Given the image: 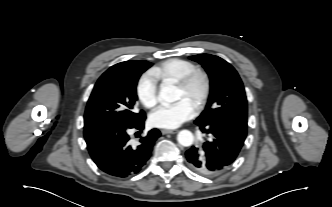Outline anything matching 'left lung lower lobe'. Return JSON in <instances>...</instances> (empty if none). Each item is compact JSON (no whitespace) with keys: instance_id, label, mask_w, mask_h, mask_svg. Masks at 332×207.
<instances>
[{"instance_id":"obj_1","label":"left lung lower lobe","mask_w":332,"mask_h":207,"mask_svg":"<svg viewBox=\"0 0 332 207\" xmlns=\"http://www.w3.org/2000/svg\"><path fill=\"white\" fill-rule=\"evenodd\" d=\"M207 135L202 146L186 151L189 166L203 175L224 172L237 158L247 136V119L229 118L209 124H197Z\"/></svg>"}]
</instances>
